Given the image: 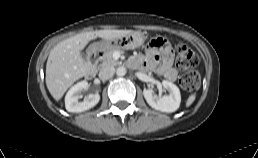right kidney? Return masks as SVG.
<instances>
[{
    "mask_svg": "<svg viewBox=\"0 0 258 158\" xmlns=\"http://www.w3.org/2000/svg\"><path fill=\"white\" fill-rule=\"evenodd\" d=\"M88 86V82L83 80L70 88L65 96V107L68 112H83L91 109L99 102L100 95L98 93L90 94L83 101H79L81 91L88 89Z\"/></svg>",
    "mask_w": 258,
    "mask_h": 158,
    "instance_id": "ca27d5eb",
    "label": "right kidney"
}]
</instances>
